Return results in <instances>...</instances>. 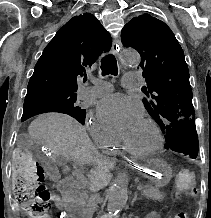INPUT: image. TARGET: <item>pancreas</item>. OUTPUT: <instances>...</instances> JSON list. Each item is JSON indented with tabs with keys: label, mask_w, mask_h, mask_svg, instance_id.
<instances>
[{
	"label": "pancreas",
	"mask_w": 211,
	"mask_h": 218,
	"mask_svg": "<svg viewBox=\"0 0 211 218\" xmlns=\"http://www.w3.org/2000/svg\"><path fill=\"white\" fill-rule=\"evenodd\" d=\"M143 196H147V198H150V200H159V202H162L164 200V194L163 192H159V190H154L152 186H143ZM70 199L68 200V205H83L85 206V200L83 199V196L81 195V190H70ZM86 198V196H84Z\"/></svg>",
	"instance_id": "pancreas-1"
}]
</instances>
